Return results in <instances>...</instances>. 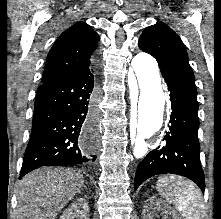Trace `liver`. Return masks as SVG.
Here are the masks:
<instances>
[{"instance_id": "1", "label": "liver", "mask_w": 221, "mask_h": 219, "mask_svg": "<svg viewBox=\"0 0 221 219\" xmlns=\"http://www.w3.org/2000/svg\"><path fill=\"white\" fill-rule=\"evenodd\" d=\"M84 186L81 173L41 168L27 174L18 189L17 219H55Z\"/></svg>"}]
</instances>
